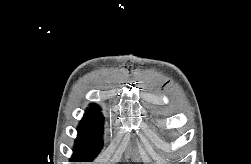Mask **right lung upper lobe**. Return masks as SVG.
<instances>
[{
  "label": "right lung upper lobe",
  "mask_w": 251,
  "mask_h": 164,
  "mask_svg": "<svg viewBox=\"0 0 251 164\" xmlns=\"http://www.w3.org/2000/svg\"><path fill=\"white\" fill-rule=\"evenodd\" d=\"M89 108H97V109H100V107L97 106L96 104H91Z\"/></svg>",
  "instance_id": "1"
}]
</instances>
